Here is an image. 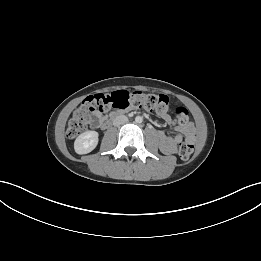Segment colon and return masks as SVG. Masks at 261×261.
I'll return each mask as SVG.
<instances>
[{"label": "colon", "mask_w": 261, "mask_h": 261, "mask_svg": "<svg viewBox=\"0 0 261 261\" xmlns=\"http://www.w3.org/2000/svg\"><path fill=\"white\" fill-rule=\"evenodd\" d=\"M169 107V99L165 95L144 93L142 91L120 90L109 94H96L83 100L82 104L70 117L66 135L73 139L84 132L92 117L99 112H106L110 108H144L154 110L160 114L166 113ZM173 119L179 124L189 122V112L181 105L173 110ZM194 152V144L191 141L182 142L179 146V155L182 159H189Z\"/></svg>", "instance_id": "colon-1"}]
</instances>
